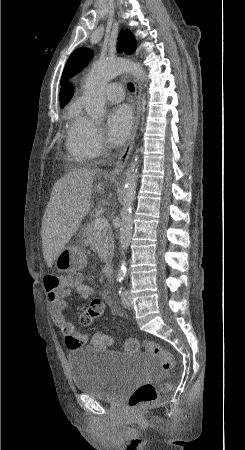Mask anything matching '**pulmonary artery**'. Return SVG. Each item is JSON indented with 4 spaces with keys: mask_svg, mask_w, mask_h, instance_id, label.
Listing matches in <instances>:
<instances>
[{
    "mask_svg": "<svg viewBox=\"0 0 245 450\" xmlns=\"http://www.w3.org/2000/svg\"><path fill=\"white\" fill-rule=\"evenodd\" d=\"M123 85L118 82H109L104 88L105 97L111 102H121L124 97L122 95Z\"/></svg>",
    "mask_w": 245,
    "mask_h": 450,
    "instance_id": "e3ab8cb5",
    "label": "pulmonary artery"
}]
</instances>
